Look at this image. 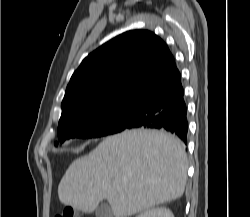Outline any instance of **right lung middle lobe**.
Masks as SVG:
<instances>
[{
    "label": "right lung middle lobe",
    "mask_w": 250,
    "mask_h": 217,
    "mask_svg": "<svg viewBox=\"0 0 250 217\" xmlns=\"http://www.w3.org/2000/svg\"><path fill=\"white\" fill-rule=\"evenodd\" d=\"M135 109L136 100H128L81 111L59 122V141L63 143L70 138H98L121 132L129 125Z\"/></svg>",
    "instance_id": "dd1d6c3e"
}]
</instances>
